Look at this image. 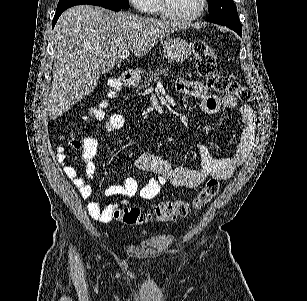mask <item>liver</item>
<instances>
[{"label":"liver","instance_id":"1","mask_svg":"<svg viewBox=\"0 0 307 301\" xmlns=\"http://www.w3.org/2000/svg\"><path fill=\"white\" fill-rule=\"evenodd\" d=\"M177 20H158L101 6L78 4L59 16L53 30L54 66L48 114L58 118L90 94L100 74L114 68L125 48L145 56L158 40L185 30Z\"/></svg>","mask_w":307,"mask_h":301}]
</instances>
